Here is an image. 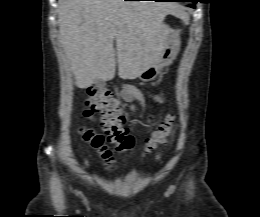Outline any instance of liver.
<instances>
[{"label":"liver","instance_id":"liver-1","mask_svg":"<svg viewBox=\"0 0 260 217\" xmlns=\"http://www.w3.org/2000/svg\"><path fill=\"white\" fill-rule=\"evenodd\" d=\"M168 14L188 17L169 2L60 0L59 40L76 86L88 88L96 79H113L116 63L123 79H135L146 67L157 64L170 33L163 24Z\"/></svg>","mask_w":260,"mask_h":217}]
</instances>
